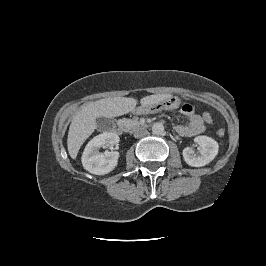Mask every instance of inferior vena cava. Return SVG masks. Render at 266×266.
I'll return each instance as SVG.
<instances>
[{"label":"inferior vena cava","mask_w":266,"mask_h":266,"mask_svg":"<svg viewBox=\"0 0 266 266\" xmlns=\"http://www.w3.org/2000/svg\"><path fill=\"white\" fill-rule=\"evenodd\" d=\"M147 134V130L144 128H139L134 131L135 138H141Z\"/></svg>","instance_id":"inferior-vena-cava-1"}]
</instances>
